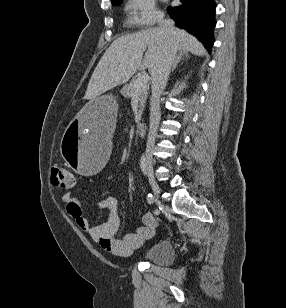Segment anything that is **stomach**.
I'll list each match as a JSON object with an SVG mask.
<instances>
[{"instance_id":"1","label":"stomach","mask_w":286,"mask_h":308,"mask_svg":"<svg viewBox=\"0 0 286 308\" xmlns=\"http://www.w3.org/2000/svg\"><path fill=\"white\" fill-rule=\"evenodd\" d=\"M117 97H92L86 109L65 122L64 140L59 142L65 164L78 174H101L111 155L110 133H118Z\"/></svg>"}]
</instances>
